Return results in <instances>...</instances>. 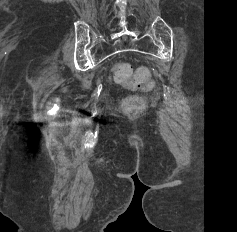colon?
I'll return each mask as SVG.
<instances>
[{
	"label": "colon",
	"instance_id": "1",
	"mask_svg": "<svg viewBox=\"0 0 237 232\" xmlns=\"http://www.w3.org/2000/svg\"><path fill=\"white\" fill-rule=\"evenodd\" d=\"M114 80L132 90L150 89L153 86L150 72L147 68H139L132 74L129 64L119 63L113 69Z\"/></svg>",
	"mask_w": 237,
	"mask_h": 232
}]
</instances>
